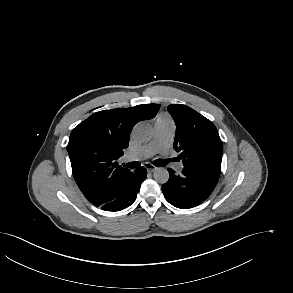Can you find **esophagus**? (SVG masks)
I'll return each instance as SVG.
<instances>
[{"label": "esophagus", "mask_w": 293, "mask_h": 293, "mask_svg": "<svg viewBox=\"0 0 293 293\" xmlns=\"http://www.w3.org/2000/svg\"><path fill=\"white\" fill-rule=\"evenodd\" d=\"M145 168L148 172H154L155 170H157V167L152 165L151 163H146Z\"/></svg>", "instance_id": "obj_1"}]
</instances>
